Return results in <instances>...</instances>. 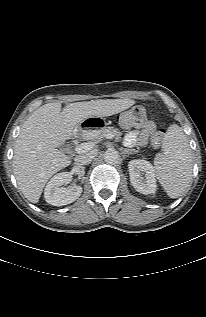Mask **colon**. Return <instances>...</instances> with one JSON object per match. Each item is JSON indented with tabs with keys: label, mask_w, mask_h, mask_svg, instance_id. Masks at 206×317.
<instances>
[{
	"label": "colon",
	"mask_w": 206,
	"mask_h": 317,
	"mask_svg": "<svg viewBox=\"0 0 206 317\" xmlns=\"http://www.w3.org/2000/svg\"><path fill=\"white\" fill-rule=\"evenodd\" d=\"M117 122L123 128L142 127L147 123L146 109L143 106H133L119 114ZM163 135L164 130L155 131L152 135V143L159 145Z\"/></svg>",
	"instance_id": "obj_1"
}]
</instances>
